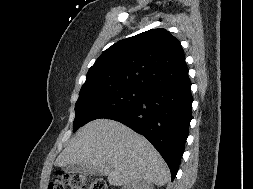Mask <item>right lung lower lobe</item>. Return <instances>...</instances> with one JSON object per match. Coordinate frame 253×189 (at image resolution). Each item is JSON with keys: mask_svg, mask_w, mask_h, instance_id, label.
I'll use <instances>...</instances> for the list:
<instances>
[{"mask_svg": "<svg viewBox=\"0 0 253 189\" xmlns=\"http://www.w3.org/2000/svg\"><path fill=\"white\" fill-rule=\"evenodd\" d=\"M192 102L188 77L149 88L137 104L107 118L145 136L166 161L173 180L188 137Z\"/></svg>", "mask_w": 253, "mask_h": 189, "instance_id": "obj_1", "label": "right lung lower lobe"}]
</instances>
